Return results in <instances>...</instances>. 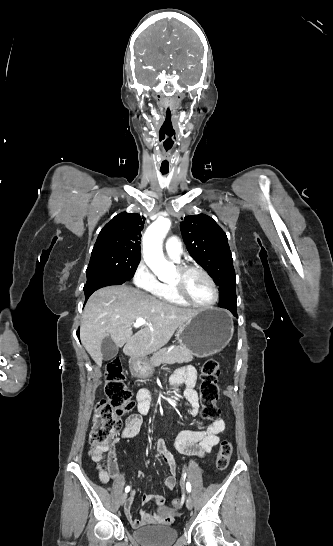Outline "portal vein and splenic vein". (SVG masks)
Instances as JSON below:
<instances>
[{
    "label": "portal vein and splenic vein",
    "mask_w": 333,
    "mask_h": 546,
    "mask_svg": "<svg viewBox=\"0 0 333 546\" xmlns=\"http://www.w3.org/2000/svg\"><path fill=\"white\" fill-rule=\"evenodd\" d=\"M145 324H148L147 321L143 318H137L136 321L133 323V326L135 328H139Z\"/></svg>",
    "instance_id": "18ae733b"
}]
</instances>
